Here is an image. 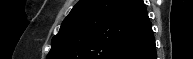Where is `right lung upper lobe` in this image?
Listing matches in <instances>:
<instances>
[{
	"label": "right lung upper lobe",
	"mask_w": 193,
	"mask_h": 59,
	"mask_svg": "<svg viewBox=\"0 0 193 59\" xmlns=\"http://www.w3.org/2000/svg\"><path fill=\"white\" fill-rule=\"evenodd\" d=\"M152 35L142 0H80L52 38L47 59H122Z\"/></svg>",
	"instance_id": "right-lung-upper-lobe-1"
}]
</instances>
